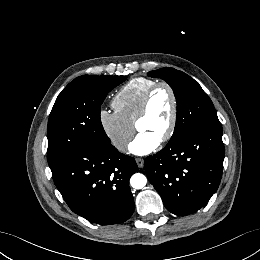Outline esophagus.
Masks as SVG:
<instances>
[{"mask_svg": "<svg viewBox=\"0 0 260 260\" xmlns=\"http://www.w3.org/2000/svg\"><path fill=\"white\" fill-rule=\"evenodd\" d=\"M136 163L139 168H142L144 164V160L142 158H136Z\"/></svg>", "mask_w": 260, "mask_h": 260, "instance_id": "34e87169", "label": "esophagus"}]
</instances>
